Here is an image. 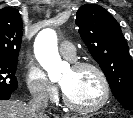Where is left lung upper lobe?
I'll use <instances>...</instances> for the list:
<instances>
[{
    "label": "left lung upper lobe",
    "instance_id": "left-lung-upper-lobe-1",
    "mask_svg": "<svg viewBox=\"0 0 133 118\" xmlns=\"http://www.w3.org/2000/svg\"><path fill=\"white\" fill-rule=\"evenodd\" d=\"M76 25L115 98L133 110V61L118 22L103 7L85 4L76 13Z\"/></svg>",
    "mask_w": 133,
    "mask_h": 118
}]
</instances>
